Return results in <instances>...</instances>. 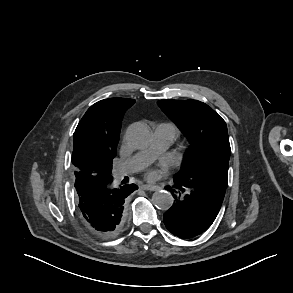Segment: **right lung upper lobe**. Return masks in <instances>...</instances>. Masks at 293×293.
I'll list each match as a JSON object with an SVG mask.
<instances>
[{
    "label": "right lung upper lobe",
    "instance_id": "1",
    "mask_svg": "<svg viewBox=\"0 0 293 293\" xmlns=\"http://www.w3.org/2000/svg\"><path fill=\"white\" fill-rule=\"evenodd\" d=\"M134 103L133 99L109 98L87 110L73 137L72 163L76 171L93 174L95 162L115 157L122 116Z\"/></svg>",
    "mask_w": 293,
    "mask_h": 293
}]
</instances>
